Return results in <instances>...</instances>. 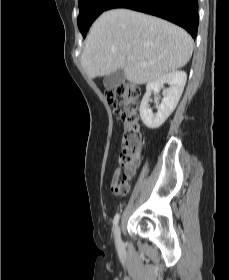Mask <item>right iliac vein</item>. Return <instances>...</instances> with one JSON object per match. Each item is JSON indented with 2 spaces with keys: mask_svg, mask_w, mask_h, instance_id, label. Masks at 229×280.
<instances>
[{
  "mask_svg": "<svg viewBox=\"0 0 229 280\" xmlns=\"http://www.w3.org/2000/svg\"><path fill=\"white\" fill-rule=\"evenodd\" d=\"M120 233H121V230H120V226L118 225V226L115 228V241H116L117 244H120V243H121Z\"/></svg>",
  "mask_w": 229,
  "mask_h": 280,
  "instance_id": "63e3f726",
  "label": "right iliac vein"
}]
</instances>
